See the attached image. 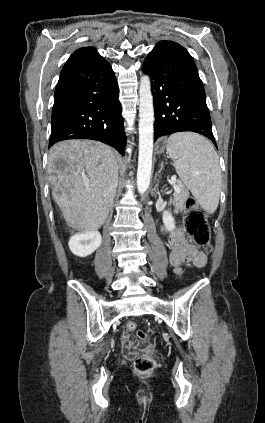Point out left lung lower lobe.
<instances>
[{"mask_svg": "<svg viewBox=\"0 0 265 423\" xmlns=\"http://www.w3.org/2000/svg\"><path fill=\"white\" fill-rule=\"evenodd\" d=\"M142 69L151 77L155 112L154 141L175 132L192 131L217 147L203 83L188 51L173 41H161Z\"/></svg>", "mask_w": 265, "mask_h": 423, "instance_id": "left-lung-lower-lobe-1", "label": "left lung lower lobe"}]
</instances>
